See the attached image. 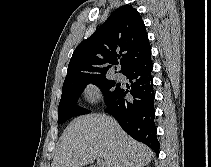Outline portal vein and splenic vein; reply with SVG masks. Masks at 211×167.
<instances>
[{
  "label": "portal vein and splenic vein",
  "mask_w": 211,
  "mask_h": 167,
  "mask_svg": "<svg viewBox=\"0 0 211 167\" xmlns=\"http://www.w3.org/2000/svg\"><path fill=\"white\" fill-rule=\"evenodd\" d=\"M97 163L99 167H106V162L100 158L97 160Z\"/></svg>",
  "instance_id": "portal-vein-and-splenic-vein-1"
}]
</instances>
